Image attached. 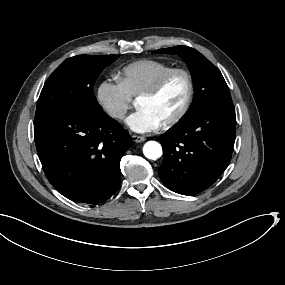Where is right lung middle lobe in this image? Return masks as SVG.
<instances>
[{
  "label": "right lung middle lobe",
  "instance_id": "1",
  "mask_svg": "<svg viewBox=\"0 0 285 285\" xmlns=\"http://www.w3.org/2000/svg\"><path fill=\"white\" fill-rule=\"evenodd\" d=\"M116 55H78L66 59L46 80L37 102L35 118L57 110L91 115L103 113L93 87L99 74Z\"/></svg>",
  "mask_w": 285,
  "mask_h": 285
}]
</instances>
